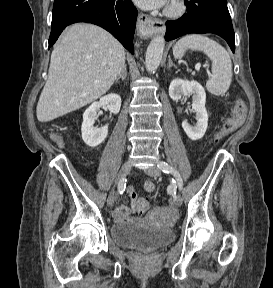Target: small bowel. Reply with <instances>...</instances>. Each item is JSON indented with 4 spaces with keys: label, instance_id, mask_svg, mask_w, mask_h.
I'll return each mask as SVG.
<instances>
[{
    "label": "small bowel",
    "instance_id": "small-bowel-1",
    "mask_svg": "<svg viewBox=\"0 0 273 288\" xmlns=\"http://www.w3.org/2000/svg\"><path fill=\"white\" fill-rule=\"evenodd\" d=\"M146 189L151 191L153 189L152 184L147 183L146 184ZM127 194L131 200V207L133 211H136L135 209V202L137 200V195L136 192L133 188H128L127 190ZM130 214H131V209L126 206V205H121L117 208H115L114 212H113V216L114 219L116 221H125L128 220L130 218Z\"/></svg>",
    "mask_w": 273,
    "mask_h": 288
}]
</instances>
